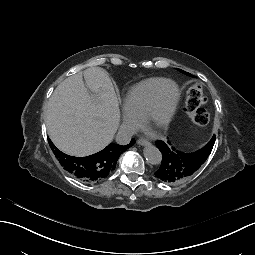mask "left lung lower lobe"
<instances>
[{
    "label": "left lung lower lobe",
    "mask_w": 255,
    "mask_h": 255,
    "mask_svg": "<svg viewBox=\"0 0 255 255\" xmlns=\"http://www.w3.org/2000/svg\"><path fill=\"white\" fill-rule=\"evenodd\" d=\"M207 147L202 148L198 153L189 155H174L168 148L166 141L159 139L155 146L161 154L160 164L155 171V175L160 180L170 183H182L185 179L194 175L199 168L205 164L207 158L210 157L211 151L216 146L217 138L212 136Z\"/></svg>",
    "instance_id": "left-lung-lower-lobe-1"
}]
</instances>
